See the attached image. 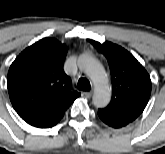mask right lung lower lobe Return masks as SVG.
Listing matches in <instances>:
<instances>
[{
  "mask_svg": "<svg viewBox=\"0 0 165 154\" xmlns=\"http://www.w3.org/2000/svg\"><path fill=\"white\" fill-rule=\"evenodd\" d=\"M75 99L66 98L50 109L25 119V121L38 128H50L56 125L63 117L65 110L73 103Z\"/></svg>",
  "mask_w": 165,
  "mask_h": 154,
  "instance_id": "right-lung-lower-lobe-1",
  "label": "right lung lower lobe"
}]
</instances>
